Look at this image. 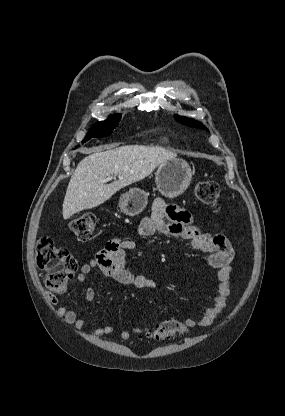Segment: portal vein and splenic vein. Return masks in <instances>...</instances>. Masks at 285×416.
Segmentation results:
<instances>
[{"label": "portal vein and splenic vein", "mask_w": 285, "mask_h": 416, "mask_svg": "<svg viewBox=\"0 0 285 416\" xmlns=\"http://www.w3.org/2000/svg\"><path fill=\"white\" fill-rule=\"evenodd\" d=\"M115 176H118V174H115ZM115 176H114V178H115ZM121 178H123V176H119V180H121ZM109 180H113L112 176H111V178H109Z\"/></svg>", "instance_id": "portal-vein-and-splenic-vein-1"}]
</instances>
